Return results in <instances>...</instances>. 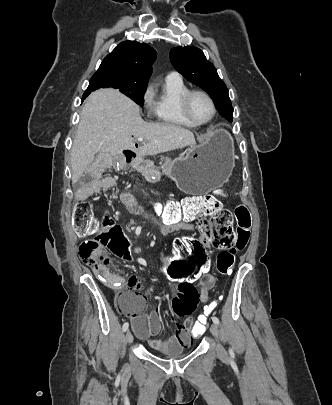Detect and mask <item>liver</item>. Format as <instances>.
<instances>
[{"mask_svg": "<svg viewBox=\"0 0 332 405\" xmlns=\"http://www.w3.org/2000/svg\"><path fill=\"white\" fill-rule=\"evenodd\" d=\"M145 139L135 148L134 138ZM196 145L194 134L169 123H147L139 107L114 89H100L88 97L71 149L72 183L75 184L97 153L113 165V157L125 149L136 150L138 156H155L186 146Z\"/></svg>", "mask_w": 332, "mask_h": 405, "instance_id": "1", "label": "liver"}]
</instances>
